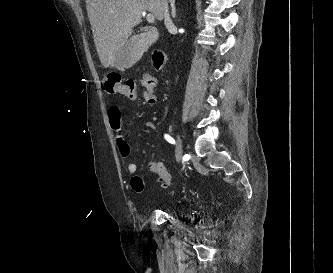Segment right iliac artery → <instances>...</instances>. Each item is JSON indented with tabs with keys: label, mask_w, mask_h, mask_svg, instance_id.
<instances>
[{
	"label": "right iliac artery",
	"mask_w": 333,
	"mask_h": 273,
	"mask_svg": "<svg viewBox=\"0 0 333 273\" xmlns=\"http://www.w3.org/2000/svg\"><path fill=\"white\" fill-rule=\"evenodd\" d=\"M164 137H165V139H166L169 143H171V144H175V143H176L175 140H174L170 135L165 134Z\"/></svg>",
	"instance_id": "82829eb1"
}]
</instances>
